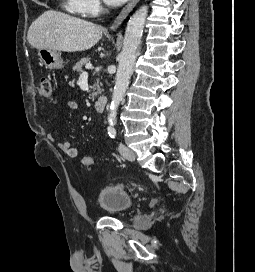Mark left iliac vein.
<instances>
[{"label":"left iliac vein","mask_w":255,"mask_h":272,"mask_svg":"<svg viewBox=\"0 0 255 272\" xmlns=\"http://www.w3.org/2000/svg\"><path fill=\"white\" fill-rule=\"evenodd\" d=\"M119 152L125 159L129 161L135 160L134 152L122 143L119 144Z\"/></svg>","instance_id":"left-iliac-vein-1"}]
</instances>
